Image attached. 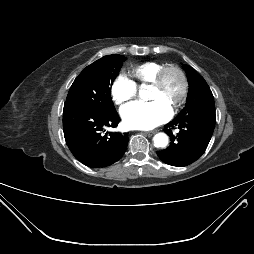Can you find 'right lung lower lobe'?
<instances>
[{
    "mask_svg": "<svg viewBox=\"0 0 254 254\" xmlns=\"http://www.w3.org/2000/svg\"><path fill=\"white\" fill-rule=\"evenodd\" d=\"M120 121L116 110L98 112L65 103L63 129L66 143L81 163L88 167L109 166L118 161L126 151V133L109 132L106 127H117Z\"/></svg>",
    "mask_w": 254,
    "mask_h": 254,
    "instance_id": "right-lung-lower-lobe-1",
    "label": "right lung lower lobe"
}]
</instances>
